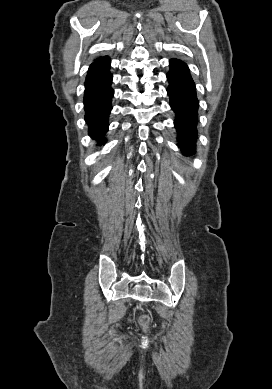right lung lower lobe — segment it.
<instances>
[{"mask_svg": "<svg viewBox=\"0 0 272 389\" xmlns=\"http://www.w3.org/2000/svg\"><path fill=\"white\" fill-rule=\"evenodd\" d=\"M110 63L107 56L95 60L88 69L85 81V121L90 137L98 140V145L106 142L103 135L108 131V117L112 110L114 90L111 88Z\"/></svg>", "mask_w": 272, "mask_h": 389, "instance_id": "right-lung-lower-lobe-1", "label": "right lung lower lobe"}]
</instances>
